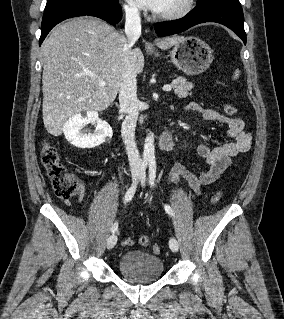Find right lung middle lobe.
<instances>
[{
    "instance_id": "right-lung-middle-lobe-1",
    "label": "right lung middle lobe",
    "mask_w": 284,
    "mask_h": 319,
    "mask_svg": "<svg viewBox=\"0 0 284 319\" xmlns=\"http://www.w3.org/2000/svg\"><path fill=\"white\" fill-rule=\"evenodd\" d=\"M98 3V4H115L118 0H47L44 12L52 10L60 5L68 3Z\"/></svg>"
}]
</instances>
